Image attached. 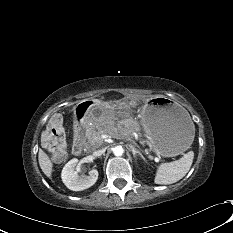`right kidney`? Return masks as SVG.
I'll return each instance as SVG.
<instances>
[{
	"label": "right kidney",
	"mask_w": 233,
	"mask_h": 233,
	"mask_svg": "<svg viewBox=\"0 0 233 233\" xmlns=\"http://www.w3.org/2000/svg\"><path fill=\"white\" fill-rule=\"evenodd\" d=\"M78 159L70 160L63 168L61 178L67 188L73 191H81L95 184L98 179V171L92 169L88 176H79L75 171Z\"/></svg>",
	"instance_id": "obj_1"
}]
</instances>
